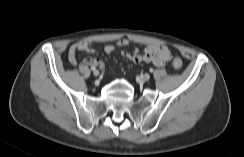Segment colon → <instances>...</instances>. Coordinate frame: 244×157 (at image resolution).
Here are the masks:
<instances>
[{"instance_id": "obj_1", "label": "colon", "mask_w": 244, "mask_h": 157, "mask_svg": "<svg viewBox=\"0 0 244 157\" xmlns=\"http://www.w3.org/2000/svg\"><path fill=\"white\" fill-rule=\"evenodd\" d=\"M172 63L175 69H180L183 65L181 59L178 57H175Z\"/></svg>"}]
</instances>
